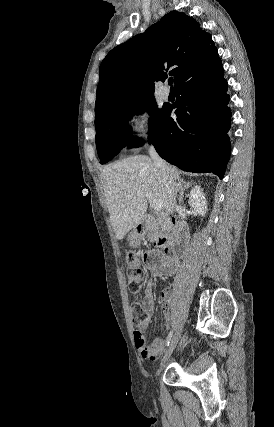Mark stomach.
<instances>
[{"label": "stomach", "mask_w": 274, "mask_h": 427, "mask_svg": "<svg viewBox=\"0 0 274 427\" xmlns=\"http://www.w3.org/2000/svg\"><path fill=\"white\" fill-rule=\"evenodd\" d=\"M143 237H144V233H139L137 229H133V231H130V233H128L127 241L129 245H132V247H138Z\"/></svg>", "instance_id": "stomach-1"}]
</instances>
